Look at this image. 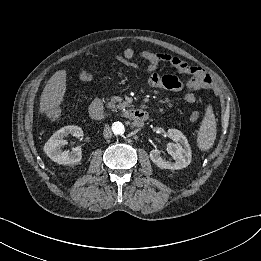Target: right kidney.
Wrapping results in <instances>:
<instances>
[{
  "instance_id": "ca27d5eb",
  "label": "right kidney",
  "mask_w": 261,
  "mask_h": 261,
  "mask_svg": "<svg viewBox=\"0 0 261 261\" xmlns=\"http://www.w3.org/2000/svg\"><path fill=\"white\" fill-rule=\"evenodd\" d=\"M71 134L74 137H82L83 130L74 125L62 127L56 131L44 145V152L47 156L58 164L70 165L79 163L82 159V151L80 147L72 150L63 151L62 147L67 144L63 138Z\"/></svg>"
}]
</instances>
